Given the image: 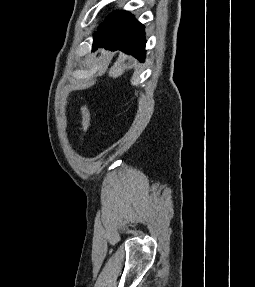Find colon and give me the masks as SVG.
<instances>
[{"mask_svg":"<svg viewBox=\"0 0 255 287\" xmlns=\"http://www.w3.org/2000/svg\"><path fill=\"white\" fill-rule=\"evenodd\" d=\"M81 126L83 139H85L91 126V115L88 107L85 104L81 106Z\"/></svg>","mask_w":255,"mask_h":287,"instance_id":"1","label":"colon"}]
</instances>
